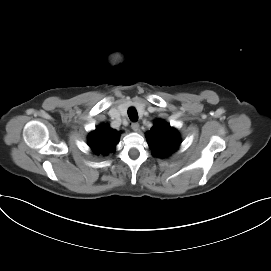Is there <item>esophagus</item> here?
I'll list each match as a JSON object with an SVG mask.
<instances>
[{"instance_id":"1","label":"esophagus","mask_w":271,"mask_h":271,"mask_svg":"<svg viewBox=\"0 0 271 271\" xmlns=\"http://www.w3.org/2000/svg\"><path fill=\"white\" fill-rule=\"evenodd\" d=\"M131 128L133 129V131L137 132L139 130V123L133 122L131 124Z\"/></svg>"}]
</instances>
